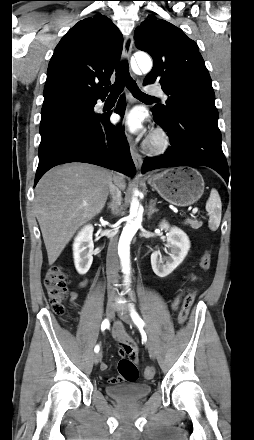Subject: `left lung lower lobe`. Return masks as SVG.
<instances>
[{"label": "left lung lower lobe", "mask_w": 254, "mask_h": 440, "mask_svg": "<svg viewBox=\"0 0 254 440\" xmlns=\"http://www.w3.org/2000/svg\"><path fill=\"white\" fill-rule=\"evenodd\" d=\"M154 120L168 132L171 146L164 155L147 157L142 172L175 166L203 165L217 171L228 183L229 170L221 147L218 118L192 109H179L174 121L152 110Z\"/></svg>", "instance_id": "0a47b994"}]
</instances>
